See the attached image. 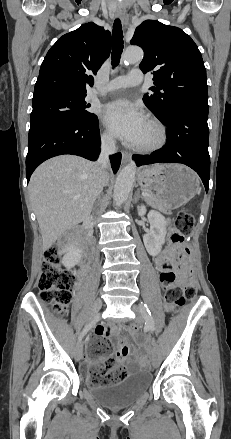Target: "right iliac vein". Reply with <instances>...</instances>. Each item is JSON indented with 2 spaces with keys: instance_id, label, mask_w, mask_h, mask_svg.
<instances>
[{
  "instance_id": "obj_1",
  "label": "right iliac vein",
  "mask_w": 231,
  "mask_h": 439,
  "mask_svg": "<svg viewBox=\"0 0 231 439\" xmlns=\"http://www.w3.org/2000/svg\"><path fill=\"white\" fill-rule=\"evenodd\" d=\"M102 307V301L100 299H97L93 305L92 308V320L93 321H99L100 320V314L99 310ZM83 355V343L80 340L76 346L75 349V358L77 361H79L82 358Z\"/></svg>"
}]
</instances>
